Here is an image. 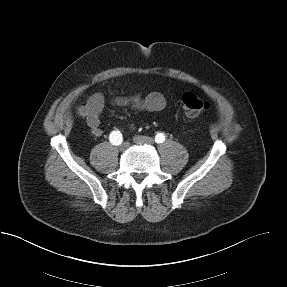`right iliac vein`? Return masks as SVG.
<instances>
[{"mask_svg":"<svg viewBox=\"0 0 287 287\" xmlns=\"http://www.w3.org/2000/svg\"><path fill=\"white\" fill-rule=\"evenodd\" d=\"M129 147V143L125 142L122 145H120L119 149L121 152H124Z\"/></svg>","mask_w":287,"mask_h":287,"instance_id":"1","label":"right iliac vein"}]
</instances>
